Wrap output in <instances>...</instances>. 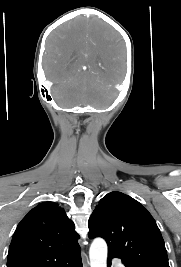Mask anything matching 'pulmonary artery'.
<instances>
[{
  "label": "pulmonary artery",
  "instance_id": "e3ab8cb5",
  "mask_svg": "<svg viewBox=\"0 0 181 267\" xmlns=\"http://www.w3.org/2000/svg\"><path fill=\"white\" fill-rule=\"evenodd\" d=\"M117 267H124V265L119 263V264H117Z\"/></svg>",
  "mask_w": 181,
  "mask_h": 267
}]
</instances>
